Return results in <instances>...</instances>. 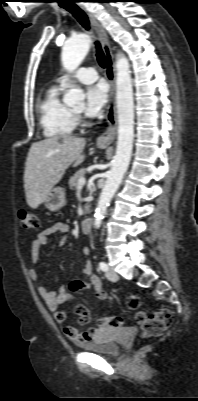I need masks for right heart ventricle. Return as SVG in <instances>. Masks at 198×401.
Instances as JSON below:
<instances>
[{
	"label": "right heart ventricle",
	"instance_id": "right-heart-ventricle-1",
	"mask_svg": "<svg viewBox=\"0 0 198 401\" xmlns=\"http://www.w3.org/2000/svg\"><path fill=\"white\" fill-rule=\"evenodd\" d=\"M61 91L62 87L51 86L38 103L40 125L49 138L69 136L76 127L73 110L61 101Z\"/></svg>",
	"mask_w": 198,
	"mask_h": 401
}]
</instances>
